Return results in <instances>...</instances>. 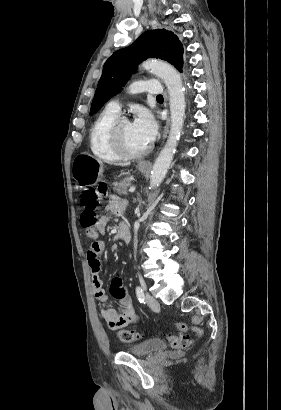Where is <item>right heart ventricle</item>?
<instances>
[{"mask_svg": "<svg viewBox=\"0 0 281 410\" xmlns=\"http://www.w3.org/2000/svg\"><path fill=\"white\" fill-rule=\"evenodd\" d=\"M119 112L106 107L93 122L89 132V147L92 154L106 162H116L123 157L112 147L109 130Z\"/></svg>", "mask_w": 281, "mask_h": 410, "instance_id": "right-heart-ventricle-1", "label": "right heart ventricle"}]
</instances>
